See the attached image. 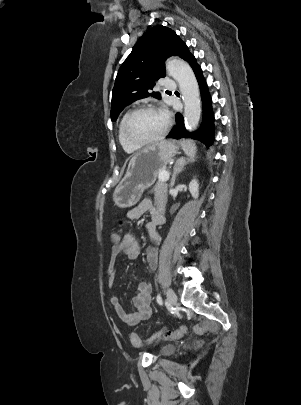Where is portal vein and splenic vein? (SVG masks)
Listing matches in <instances>:
<instances>
[{
    "label": "portal vein and splenic vein",
    "mask_w": 301,
    "mask_h": 405,
    "mask_svg": "<svg viewBox=\"0 0 301 405\" xmlns=\"http://www.w3.org/2000/svg\"><path fill=\"white\" fill-rule=\"evenodd\" d=\"M160 181H167L169 179V172L161 171L158 176Z\"/></svg>",
    "instance_id": "portal-vein-and-splenic-vein-1"
}]
</instances>
